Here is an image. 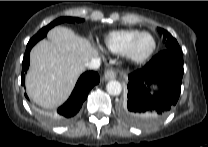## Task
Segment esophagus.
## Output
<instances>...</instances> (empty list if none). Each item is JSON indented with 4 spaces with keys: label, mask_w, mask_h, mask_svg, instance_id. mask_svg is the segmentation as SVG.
I'll use <instances>...</instances> for the list:
<instances>
[{
    "label": "esophagus",
    "mask_w": 208,
    "mask_h": 147,
    "mask_svg": "<svg viewBox=\"0 0 208 147\" xmlns=\"http://www.w3.org/2000/svg\"><path fill=\"white\" fill-rule=\"evenodd\" d=\"M116 77V71L113 69H108L105 71L104 73V80L108 81V80H112Z\"/></svg>",
    "instance_id": "34e87169"
}]
</instances>
